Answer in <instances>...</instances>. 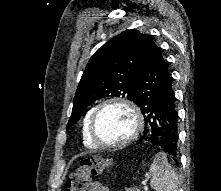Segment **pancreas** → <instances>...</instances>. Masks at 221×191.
I'll use <instances>...</instances> for the list:
<instances>
[{
    "label": "pancreas",
    "mask_w": 221,
    "mask_h": 191,
    "mask_svg": "<svg viewBox=\"0 0 221 191\" xmlns=\"http://www.w3.org/2000/svg\"><path fill=\"white\" fill-rule=\"evenodd\" d=\"M126 191H140V190L134 187H130V188H126Z\"/></svg>",
    "instance_id": "pancreas-1"
}]
</instances>
